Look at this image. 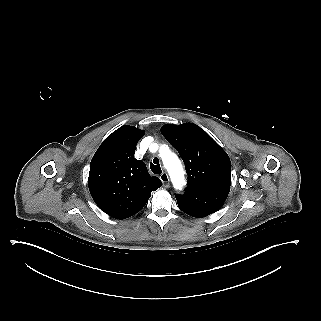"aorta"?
Masks as SVG:
<instances>
[{
    "instance_id": "762f6f07",
    "label": "aorta",
    "mask_w": 321,
    "mask_h": 321,
    "mask_svg": "<svg viewBox=\"0 0 321 321\" xmlns=\"http://www.w3.org/2000/svg\"><path fill=\"white\" fill-rule=\"evenodd\" d=\"M164 167L167 169L173 186L181 190L185 185L184 170L176 154L171 153L168 149L162 157Z\"/></svg>"
}]
</instances>
